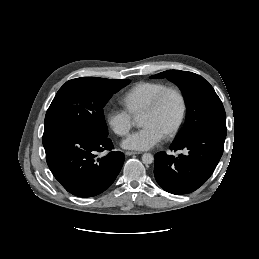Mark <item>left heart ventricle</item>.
I'll use <instances>...</instances> for the list:
<instances>
[{
	"label": "left heart ventricle",
	"instance_id": "b2bd125f",
	"mask_svg": "<svg viewBox=\"0 0 259 259\" xmlns=\"http://www.w3.org/2000/svg\"><path fill=\"white\" fill-rule=\"evenodd\" d=\"M179 115L180 102L176 95L169 94L156 113L142 115L141 124L155 126L165 135L176 125Z\"/></svg>",
	"mask_w": 259,
	"mask_h": 259
}]
</instances>
